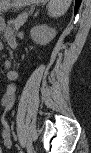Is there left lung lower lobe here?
<instances>
[{
    "label": "left lung lower lobe",
    "mask_w": 91,
    "mask_h": 153,
    "mask_svg": "<svg viewBox=\"0 0 91 153\" xmlns=\"http://www.w3.org/2000/svg\"><path fill=\"white\" fill-rule=\"evenodd\" d=\"M79 2H80V0H76V8L78 7Z\"/></svg>",
    "instance_id": "left-lung-lower-lobe-1"
}]
</instances>
